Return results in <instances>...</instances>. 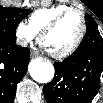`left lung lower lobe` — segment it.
I'll list each match as a JSON object with an SVG mask.
<instances>
[{"instance_id":"left-lung-lower-lobe-1","label":"left lung lower lobe","mask_w":103,"mask_h":103,"mask_svg":"<svg viewBox=\"0 0 103 103\" xmlns=\"http://www.w3.org/2000/svg\"><path fill=\"white\" fill-rule=\"evenodd\" d=\"M54 79L44 86L48 103H90L103 74V39L97 26L87 29L74 53L57 62Z\"/></svg>"}]
</instances>
